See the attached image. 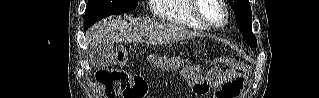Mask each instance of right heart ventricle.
I'll return each instance as SVG.
<instances>
[{"label": "right heart ventricle", "instance_id": "obj_1", "mask_svg": "<svg viewBox=\"0 0 319 98\" xmlns=\"http://www.w3.org/2000/svg\"><path fill=\"white\" fill-rule=\"evenodd\" d=\"M152 2L153 13L160 20L195 30L206 29L193 15L192 0H153Z\"/></svg>", "mask_w": 319, "mask_h": 98}]
</instances>
